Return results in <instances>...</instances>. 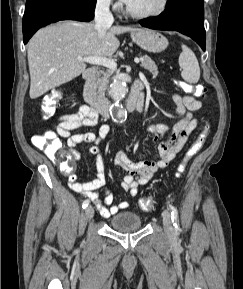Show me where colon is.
I'll list each match as a JSON object with an SVG mask.
<instances>
[{"mask_svg": "<svg viewBox=\"0 0 243 289\" xmlns=\"http://www.w3.org/2000/svg\"><path fill=\"white\" fill-rule=\"evenodd\" d=\"M179 86L186 92H193L198 97H204L206 94V88L202 85L193 87L192 85L180 82ZM62 98V92L60 90H52L46 94L43 98L41 111L43 117L48 119L52 117L58 107L59 101ZM207 135V128L199 135L195 143L186 152L183 161L177 169V176H180L187 163L193 158L199 150L202 148ZM32 144L43 150L46 155L66 174H72L75 171V159L70 151L63 149L62 141L52 131H46L43 134L34 135L31 138ZM139 207L144 211H150L154 206V201L151 198H142L138 202Z\"/></svg>", "mask_w": 243, "mask_h": 289, "instance_id": "1", "label": "colon"}]
</instances>
